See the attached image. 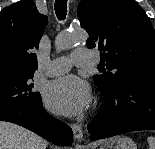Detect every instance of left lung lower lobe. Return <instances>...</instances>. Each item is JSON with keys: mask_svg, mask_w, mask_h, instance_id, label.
<instances>
[{"mask_svg": "<svg viewBox=\"0 0 155 149\" xmlns=\"http://www.w3.org/2000/svg\"><path fill=\"white\" fill-rule=\"evenodd\" d=\"M88 125L91 140L137 130H155V75L138 76L113 89Z\"/></svg>", "mask_w": 155, "mask_h": 149, "instance_id": "1", "label": "left lung lower lobe"}]
</instances>
